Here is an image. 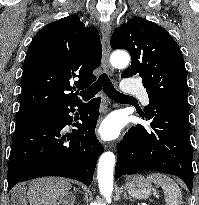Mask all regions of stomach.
<instances>
[{"instance_id": "0dacf381", "label": "stomach", "mask_w": 199, "mask_h": 205, "mask_svg": "<svg viewBox=\"0 0 199 205\" xmlns=\"http://www.w3.org/2000/svg\"><path fill=\"white\" fill-rule=\"evenodd\" d=\"M126 190L135 199H147L155 193L152 183L141 175L130 178L126 184Z\"/></svg>"}]
</instances>
